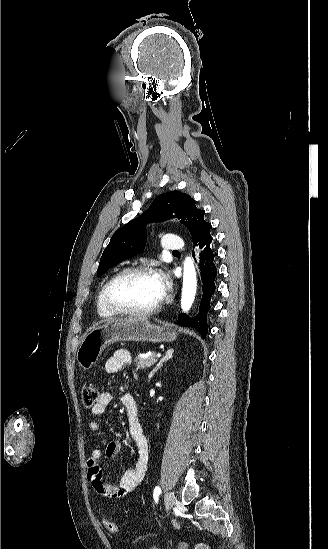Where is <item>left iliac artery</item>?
I'll use <instances>...</instances> for the list:
<instances>
[{
  "mask_svg": "<svg viewBox=\"0 0 328 549\" xmlns=\"http://www.w3.org/2000/svg\"><path fill=\"white\" fill-rule=\"evenodd\" d=\"M160 493H161L160 487H158V486L155 487L154 493H153V497H154V500H155L156 503H157V501H158V497H159V494H160Z\"/></svg>",
  "mask_w": 328,
  "mask_h": 549,
  "instance_id": "left-iliac-artery-1",
  "label": "left iliac artery"
}]
</instances>
